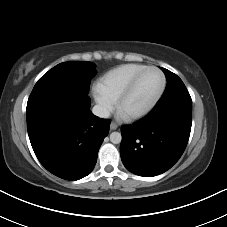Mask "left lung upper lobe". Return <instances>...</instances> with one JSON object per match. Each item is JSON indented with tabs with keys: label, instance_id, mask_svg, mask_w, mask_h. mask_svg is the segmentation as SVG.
Returning <instances> with one entry per match:
<instances>
[{
	"label": "left lung upper lobe",
	"instance_id": "obj_1",
	"mask_svg": "<svg viewBox=\"0 0 227 227\" xmlns=\"http://www.w3.org/2000/svg\"><path fill=\"white\" fill-rule=\"evenodd\" d=\"M167 78V86L157 106L167 103L191 104L192 100L182 80L171 71L161 68Z\"/></svg>",
	"mask_w": 227,
	"mask_h": 227
}]
</instances>
